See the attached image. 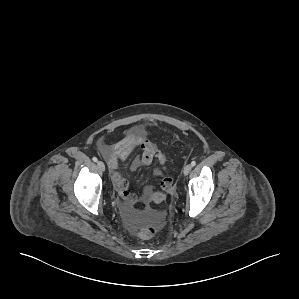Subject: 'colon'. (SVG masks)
<instances>
[{"instance_id":"5ec220e1","label":"colon","mask_w":299,"mask_h":299,"mask_svg":"<svg viewBox=\"0 0 299 299\" xmlns=\"http://www.w3.org/2000/svg\"><path fill=\"white\" fill-rule=\"evenodd\" d=\"M170 186H171L170 184L166 183V186L162 192H157L152 196L153 200L155 202L163 201L166 197L165 192L170 189ZM159 229H160L159 226L156 224L148 225L139 231V236L143 239L152 238L159 232Z\"/></svg>"}]
</instances>
